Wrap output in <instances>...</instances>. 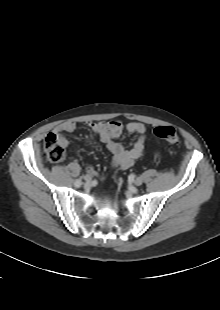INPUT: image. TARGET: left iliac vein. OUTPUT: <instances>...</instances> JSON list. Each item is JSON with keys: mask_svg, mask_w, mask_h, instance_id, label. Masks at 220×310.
<instances>
[{"mask_svg": "<svg viewBox=\"0 0 220 310\" xmlns=\"http://www.w3.org/2000/svg\"><path fill=\"white\" fill-rule=\"evenodd\" d=\"M142 183H143V180H142V178H140V177H138V178H136V179L134 180V184H135L136 186H140Z\"/></svg>", "mask_w": 220, "mask_h": 310, "instance_id": "obj_1", "label": "left iliac vein"}]
</instances>
